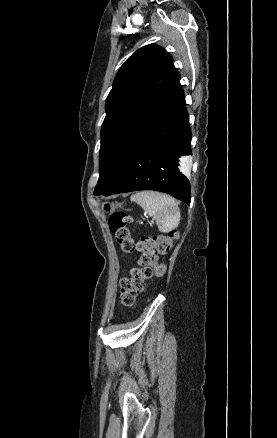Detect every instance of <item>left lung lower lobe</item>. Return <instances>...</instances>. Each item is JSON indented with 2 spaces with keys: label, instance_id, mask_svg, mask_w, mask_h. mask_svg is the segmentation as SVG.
<instances>
[{
  "label": "left lung lower lobe",
  "instance_id": "left-lung-lower-lobe-1",
  "mask_svg": "<svg viewBox=\"0 0 277 438\" xmlns=\"http://www.w3.org/2000/svg\"><path fill=\"white\" fill-rule=\"evenodd\" d=\"M187 113L149 96L135 124L133 140L120 174L100 195L136 190L168 193L190 203L189 183L177 167L181 155L191 154Z\"/></svg>",
  "mask_w": 277,
  "mask_h": 438
}]
</instances>
